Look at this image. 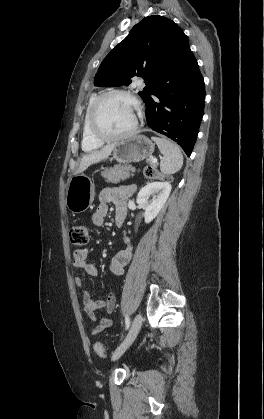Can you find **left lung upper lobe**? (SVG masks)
<instances>
[{
	"label": "left lung upper lobe",
	"instance_id": "left-lung-upper-lobe-1",
	"mask_svg": "<svg viewBox=\"0 0 264 419\" xmlns=\"http://www.w3.org/2000/svg\"><path fill=\"white\" fill-rule=\"evenodd\" d=\"M183 31L163 16L153 15L136 24L102 61L94 78L100 87L128 86L140 76L146 86L139 92L145 101L155 82L171 69L170 44Z\"/></svg>",
	"mask_w": 264,
	"mask_h": 419
}]
</instances>
